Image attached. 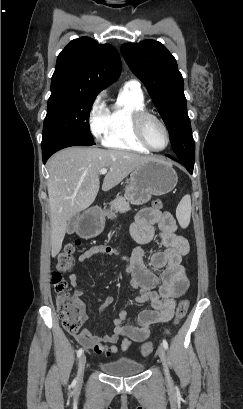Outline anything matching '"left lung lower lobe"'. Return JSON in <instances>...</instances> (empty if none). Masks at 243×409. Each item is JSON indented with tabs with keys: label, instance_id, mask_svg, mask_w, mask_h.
<instances>
[{
	"label": "left lung lower lobe",
	"instance_id": "left-lung-lower-lobe-1",
	"mask_svg": "<svg viewBox=\"0 0 243 409\" xmlns=\"http://www.w3.org/2000/svg\"><path fill=\"white\" fill-rule=\"evenodd\" d=\"M166 156H168L169 158H171V159H173V160H175V161H177V162H179V163L184 164L185 167L187 168L188 172L192 174L194 164L187 163V162H183V161H181V160H179V159H177V158H174V157H172V156H170V155H166Z\"/></svg>",
	"mask_w": 243,
	"mask_h": 409
}]
</instances>
